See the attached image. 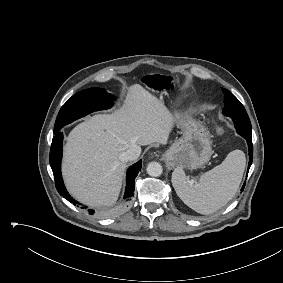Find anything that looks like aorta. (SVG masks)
Returning <instances> with one entry per match:
<instances>
[{
    "label": "aorta",
    "instance_id": "1",
    "mask_svg": "<svg viewBox=\"0 0 283 283\" xmlns=\"http://www.w3.org/2000/svg\"><path fill=\"white\" fill-rule=\"evenodd\" d=\"M147 173L150 175V176H153V177H158L162 174L163 172V169H162V166L160 163L158 162H150L148 165H147Z\"/></svg>",
    "mask_w": 283,
    "mask_h": 283
}]
</instances>
